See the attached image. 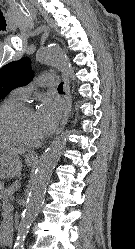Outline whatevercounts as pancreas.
Here are the masks:
<instances>
[{
	"instance_id": "cf45deb5",
	"label": "pancreas",
	"mask_w": 135,
	"mask_h": 249,
	"mask_svg": "<svg viewBox=\"0 0 135 249\" xmlns=\"http://www.w3.org/2000/svg\"><path fill=\"white\" fill-rule=\"evenodd\" d=\"M16 188H17L16 185H12L6 189L4 188L0 189V192L3 194L5 198H7V196H10L11 194H13Z\"/></svg>"
}]
</instances>
